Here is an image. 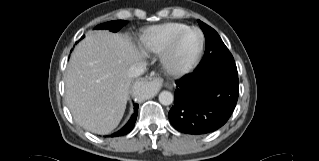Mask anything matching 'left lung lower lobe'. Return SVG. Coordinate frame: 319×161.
I'll use <instances>...</instances> for the list:
<instances>
[{
    "mask_svg": "<svg viewBox=\"0 0 319 161\" xmlns=\"http://www.w3.org/2000/svg\"><path fill=\"white\" fill-rule=\"evenodd\" d=\"M174 105L168 117L178 131L201 135L222 127L239 95L237 72L224 69L196 71L176 81Z\"/></svg>",
    "mask_w": 319,
    "mask_h": 161,
    "instance_id": "0a47b994",
    "label": "left lung lower lobe"
}]
</instances>
